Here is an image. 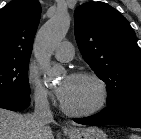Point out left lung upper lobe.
Returning <instances> with one entry per match:
<instances>
[{
  "instance_id": "obj_1",
  "label": "left lung upper lobe",
  "mask_w": 141,
  "mask_h": 139,
  "mask_svg": "<svg viewBox=\"0 0 141 139\" xmlns=\"http://www.w3.org/2000/svg\"><path fill=\"white\" fill-rule=\"evenodd\" d=\"M74 17L81 54L106 83L107 106L141 95V51L127 19L103 2L80 5Z\"/></svg>"
}]
</instances>
